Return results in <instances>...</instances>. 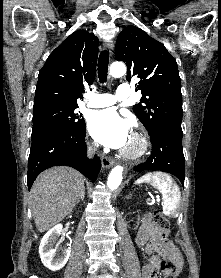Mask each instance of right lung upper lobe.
<instances>
[{"instance_id":"cb5924a9","label":"right lung upper lobe","mask_w":221,"mask_h":278,"mask_svg":"<svg viewBox=\"0 0 221 278\" xmlns=\"http://www.w3.org/2000/svg\"><path fill=\"white\" fill-rule=\"evenodd\" d=\"M98 39L77 30L49 55L39 72L34 106L43 103L77 104L84 85L95 78Z\"/></svg>"}]
</instances>
